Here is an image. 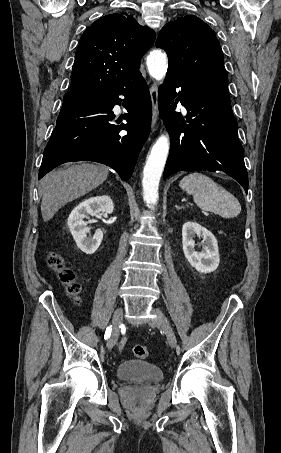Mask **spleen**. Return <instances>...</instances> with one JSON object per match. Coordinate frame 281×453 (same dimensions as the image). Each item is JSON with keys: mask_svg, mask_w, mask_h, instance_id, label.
Wrapping results in <instances>:
<instances>
[{"mask_svg": "<svg viewBox=\"0 0 281 453\" xmlns=\"http://www.w3.org/2000/svg\"><path fill=\"white\" fill-rule=\"evenodd\" d=\"M179 186L188 194H193L194 202L202 210H210L223 218H233L241 210V204L234 194L201 172L187 174L180 180Z\"/></svg>", "mask_w": 281, "mask_h": 453, "instance_id": "obj_1", "label": "spleen"}]
</instances>
